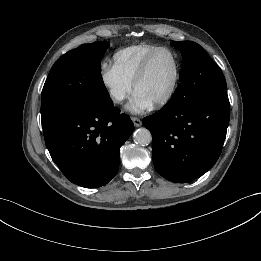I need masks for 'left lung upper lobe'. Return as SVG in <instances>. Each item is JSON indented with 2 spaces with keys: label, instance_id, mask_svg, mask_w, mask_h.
I'll use <instances>...</instances> for the list:
<instances>
[{
  "label": "left lung upper lobe",
  "instance_id": "obj_1",
  "mask_svg": "<svg viewBox=\"0 0 261 261\" xmlns=\"http://www.w3.org/2000/svg\"><path fill=\"white\" fill-rule=\"evenodd\" d=\"M183 57L178 85L168 105L184 106L194 99L227 89L224 75L206 51L192 41H172Z\"/></svg>",
  "mask_w": 261,
  "mask_h": 261
}]
</instances>
